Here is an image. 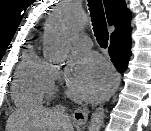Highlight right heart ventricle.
Here are the masks:
<instances>
[{"label": "right heart ventricle", "mask_w": 151, "mask_h": 131, "mask_svg": "<svg viewBox=\"0 0 151 131\" xmlns=\"http://www.w3.org/2000/svg\"><path fill=\"white\" fill-rule=\"evenodd\" d=\"M52 67L40 58L34 49H27L15 73L12 97L16 105L31 107L41 105L52 81Z\"/></svg>", "instance_id": "obj_1"}]
</instances>
